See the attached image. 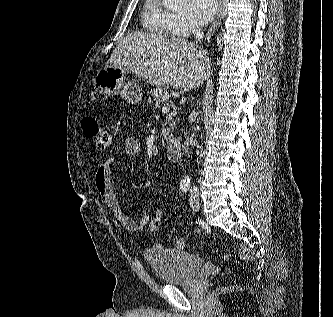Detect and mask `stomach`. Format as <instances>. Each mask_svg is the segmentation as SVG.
<instances>
[{
	"label": "stomach",
	"instance_id": "1",
	"mask_svg": "<svg viewBox=\"0 0 333 317\" xmlns=\"http://www.w3.org/2000/svg\"><path fill=\"white\" fill-rule=\"evenodd\" d=\"M125 70L105 67L98 71L94 81V89L104 95L120 94L126 100L137 103L142 99V88L136 81L123 84Z\"/></svg>",
	"mask_w": 333,
	"mask_h": 317
}]
</instances>
